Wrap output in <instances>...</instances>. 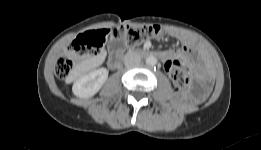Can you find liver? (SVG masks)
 <instances>
[{"instance_id": "liver-1", "label": "liver", "mask_w": 261, "mask_h": 150, "mask_svg": "<svg viewBox=\"0 0 261 150\" xmlns=\"http://www.w3.org/2000/svg\"><path fill=\"white\" fill-rule=\"evenodd\" d=\"M104 61V53L99 56L93 57L91 59H87L83 61L79 66L80 73H85L96 66H99Z\"/></svg>"}]
</instances>
